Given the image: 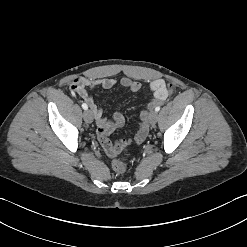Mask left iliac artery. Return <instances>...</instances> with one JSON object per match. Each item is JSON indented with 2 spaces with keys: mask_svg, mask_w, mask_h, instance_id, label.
I'll return each mask as SVG.
<instances>
[{
  "mask_svg": "<svg viewBox=\"0 0 247 247\" xmlns=\"http://www.w3.org/2000/svg\"><path fill=\"white\" fill-rule=\"evenodd\" d=\"M159 110H160V106H157V107L155 108V111L158 112Z\"/></svg>",
  "mask_w": 247,
  "mask_h": 247,
  "instance_id": "44dca946",
  "label": "left iliac artery"
}]
</instances>
